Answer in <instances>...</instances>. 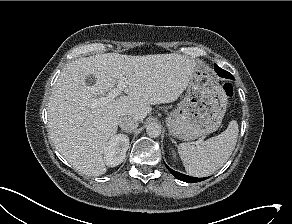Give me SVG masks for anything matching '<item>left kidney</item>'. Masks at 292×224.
<instances>
[{
    "label": "left kidney",
    "instance_id": "obj_1",
    "mask_svg": "<svg viewBox=\"0 0 292 224\" xmlns=\"http://www.w3.org/2000/svg\"><path fill=\"white\" fill-rule=\"evenodd\" d=\"M171 153H172L173 157L175 158L176 156H175V153L173 150H171Z\"/></svg>",
    "mask_w": 292,
    "mask_h": 224
}]
</instances>
